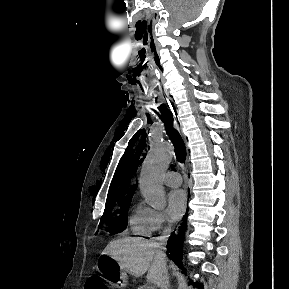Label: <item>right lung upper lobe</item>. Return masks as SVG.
<instances>
[{
    "instance_id": "cb5924a9",
    "label": "right lung upper lobe",
    "mask_w": 289,
    "mask_h": 289,
    "mask_svg": "<svg viewBox=\"0 0 289 289\" xmlns=\"http://www.w3.org/2000/svg\"><path fill=\"white\" fill-rule=\"evenodd\" d=\"M129 183H130V176L129 178H128V175L126 178L123 176V178L120 180V187L117 188L118 187V183H117V186L115 187V189L109 190L106 203H116V204L118 203L119 204L125 200L132 198V193L135 190V185H133L131 189L129 190L128 189Z\"/></svg>"
}]
</instances>
